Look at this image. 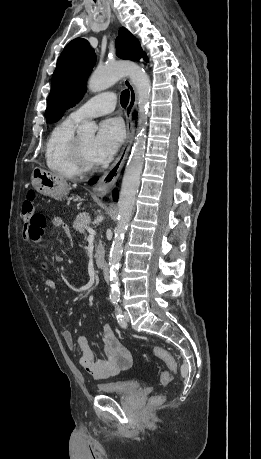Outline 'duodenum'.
Returning a JSON list of instances; mask_svg holds the SVG:
<instances>
[{"mask_svg": "<svg viewBox=\"0 0 261 459\" xmlns=\"http://www.w3.org/2000/svg\"><path fill=\"white\" fill-rule=\"evenodd\" d=\"M99 266H100V268L102 270V273H103L105 279L108 281L109 280V267H108L107 263L100 262Z\"/></svg>", "mask_w": 261, "mask_h": 459, "instance_id": "410a0bca", "label": "duodenum"}]
</instances>
